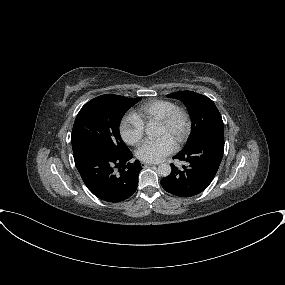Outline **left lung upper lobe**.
<instances>
[{"label":"left lung upper lobe","instance_id":"obj_1","mask_svg":"<svg viewBox=\"0 0 285 285\" xmlns=\"http://www.w3.org/2000/svg\"><path fill=\"white\" fill-rule=\"evenodd\" d=\"M167 97L181 100L191 116V135L184 150L196 145L202 138L217 130L224 131L222 117L214 102L208 97L192 91H179Z\"/></svg>","mask_w":285,"mask_h":285}]
</instances>
